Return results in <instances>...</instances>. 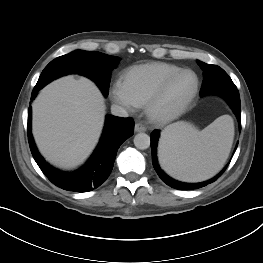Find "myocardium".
Returning <instances> with one entry per match:
<instances>
[{"instance_id": "obj_1", "label": "myocardium", "mask_w": 263, "mask_h": 263, "mask_svg": "<svg viewBox=\"0 0 263 263\" xmlns=\"http://www.w3.org/2000/svg\"><path fill=\"white\" fill-rule=\"evenodd\" d=\"M184 73H192L195 77V86L190 93V95L179 105L174 107L173 109L167 111H160L159 104L164 97L166 91L168 90L171 83L178 78L180 75ZM200 88V78L198 74L190 68L180 69L173 74L166 77L160 85L156 88V90L152 93L145 104V109L148 117L155 123H168L179 116H181L192 104L194 99L196 98Z\"/></svg>"}]
</instances>
